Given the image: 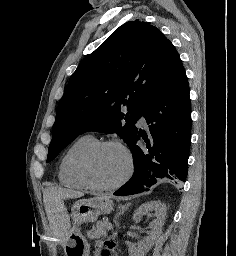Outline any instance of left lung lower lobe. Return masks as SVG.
I'll return each instance as SVG.
<instances>
[{
  "label": "left lung lower lobe",
  "mask_w": 236,
  "mask_h": 256,
  "mask_svg": "<svg viewBox=\"0 0 236 256\" xmlns=\"http://www.w3.org/2000/svg\"><path fill=\"white\" fill-rule=\"evenodd\" d=\"M149 131L136 130L129 148L133 154L132 178L114 195H133L165 180L185 181L191 139V105L188 79L183 69L143 107ZM144 140V146L137 142Z\"/></svg>",
  "instance_id": "1"
}]
</instances>
